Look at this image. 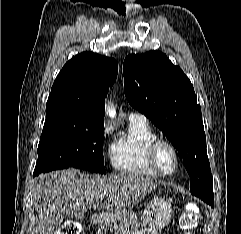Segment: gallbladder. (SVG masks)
I'll list each match as a JSON object with an SVG mask.
<instances>
[{
  "mask_svg": "<svg viewBox=\"0 0 241 234\" xmlns=\"http://www.w3.org/2000/svg\"><path fill=\"white\" fill-rule=\"evenodd\" d=\"M84 216V211L79 210L78 212L73 213V217L77 218V219H82Z\"/></svg>",
  "mask_w": 241,
  "mask_h": 234,
  "instance_id": "obj_1",
  "label": "gallbladder"
}]
</instances>
